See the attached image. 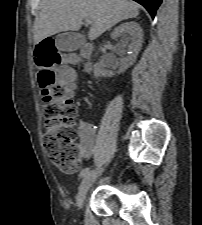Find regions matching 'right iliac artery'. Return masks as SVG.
Listing matches in <instances>:
<instances>
[{
	"label": "right iliac artery",
	"mask_w": 202,
	"mask_h": 225,
	"mask_svg": "<svg viewBox=\"0 0 202 225\" xmlns=\"http://www.w3.org/2000/svg\"><path fill=\"white\" fill-rule=\"evenodd\" d=\"M90 168H84L81 172H80V177H84L89 173Z\"/></svg>",
	"instance_id": "right-iliac-artery-1"
}]
</instances>
